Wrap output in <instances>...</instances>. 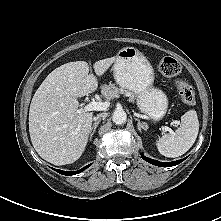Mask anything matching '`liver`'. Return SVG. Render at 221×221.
<instances>
[{
    "label": "liver",
    "mask_w": 221,
    "mask_h": 221,
    "mask_svg": "<svg viewBox=\"0 0 221 221\" xmlns=\"http://www.w3.org/2000/svg\"><path fill=\"white\" fill-rule=\"evenodd\" d=\"M115 57L95 62L103 75ZM97 79L85 61L69 62L53 70L36 90L29 109L33 147L47 162L60 166L78 160L85 150L93 113L79 108L78 97L94 92Z\"/></svg>",
    "instance_id": "liver-1"
}]
</instances>
